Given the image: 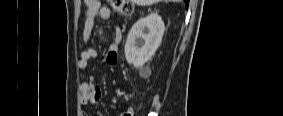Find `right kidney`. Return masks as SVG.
<instances>
[{
    "mask_svg": "<svg viewBox=\"0 0 283 116\" xmlns=\"http://www.w3.org/2000/svg\"><path fill=\"white\" fill-rule=\"evenodd\" d=\"M165 31L162 18L152 13L131 28L125 44V58L135 68L142 67L159 47Z\"/></svg>",
    "mask_w": 283,
    "mask_h": 116,
    "instance_id": "1",
    "label": "right kidney"
}]
</instances>
